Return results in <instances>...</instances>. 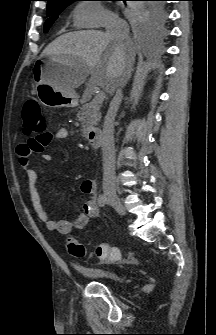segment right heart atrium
Returning <instances> with one entry per match:
<instances>
[{
	"mask_svg": "<svg viewBox=\"0 0 216 335\" xmlns=\"http://www.w3.org/2000/svg\"><path fill=\"white\" fill-rule=\"evenodd\" d=\"M73 16L80 28H101L116 22L118 17L96 1H80L76 4Z\"/></svg>",
	"mask_w": 216,
	"mask_h": 335,
	"instance_id": "d8ad5b80",
	"label": "right heart atrium"
}]
</instances>
